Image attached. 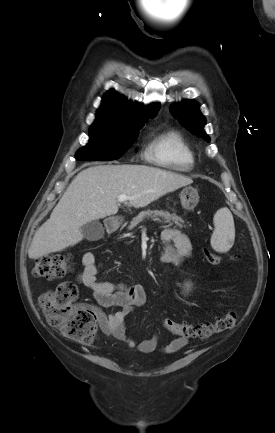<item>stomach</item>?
I'll return each instance as SVG.
<instances>
[{"label":"stomach","instance_id":"1","mask_svg":"<svg viewBox=\"0 0 275 433\" xmlns=\"http://www.w3.org/2000/svg\"><path fill=\"white\" fill-rule=\"evenodd\" d=\"M180 201L182 207L187 211H192L199 202L198 191L193 187H185L180 192Z\"/></svg>","mask_w":275,"mask_h":433}]
</instances>
